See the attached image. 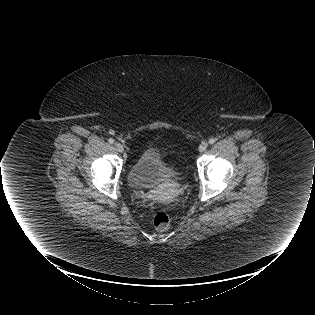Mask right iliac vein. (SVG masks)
Here are the masks:
<instances>
[{
  "instance_id": "obj_1",
  "label": "right iliac vein",
  "mask_w": 315,
  "mask_h": 315,
  "mask_svg": "<svg viewBox=\"0 0 315 315\" xmlns=\"http://www.w3.org/2000/svg\"><path fill=\"white\" fill-rule=\"evenodd\" d=\"M115 147H116V149H117L119 152H123V151H124L123 145H122L121 143H119V142H116V143H115Z\"/></svg>"
}]
</instances>
